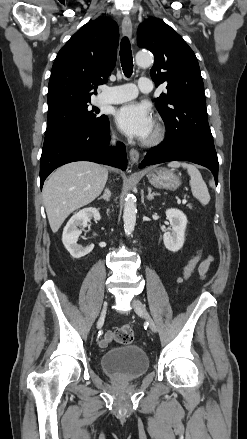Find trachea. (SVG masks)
I'll use <instances>...</instances> for the list:
<instances>
[{"mask_svg": "<svg viewBox=\"0 0 247 439\" xmlns=\"http://www.w3.org/2000/svg\"><path fill=\"white\" fill-rule=\"evenodd\" d=\"M120 60L124 75L130 77L133 73V57L130 41L127 37H124L120 43Z\"/></svg>", "mask_w": 247, "mask_h": 439, "instance_id": "3493384b", "label": "trachea"}]
</instances>
